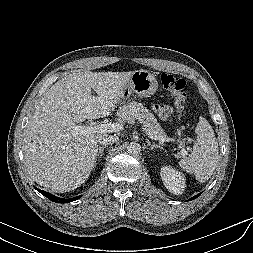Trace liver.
Returning a JSON list of instances; mask_svg holds the SVG:
<instances>
[{
	"label": "liver",
	"mask_w": 253,
	"mask_h": 253,
	"mask_svg": "<svg viewBox=\"0 0 253 253\" xmlns=\"http://www.w3.org/2000/svg\"><path fill=\"white\" fill-rule=\"evenodd\" d=\"M133 72H73L50 87L24 133L25 162L34 181L53 192H69L88 179L106 133L81 134L75 127L108 116Z\"/></svg>",
	"instance_id": "1"
}]
</instances>
